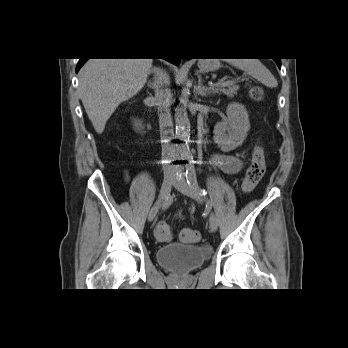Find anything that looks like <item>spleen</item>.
<instances>
[{"label": "spleen", "instance_id": "3e777b00", "mask_svg": "<svg viewBox=\"0 0 348 348\" xmlns=\"http://www.w3.org/2000/svg\"><path fill=\"white\" fill-rule=\"evenodd\" d=\"M228 63L257 79L266 87L275 88L277 80L258 59H230Z\"/></svg>", "mask_w": 348, "mask_h": 348}]
</instances>
